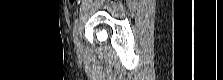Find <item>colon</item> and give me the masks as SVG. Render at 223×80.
Returning a JSON list of instances; mask_svg holds the SVG:
<instances>
[{"instance_id": "obj_1", "label": "colon", "mask_w": 223, "mask_h": 80, "mask_svg": "<svg viewBox=\"0 0 223 80\" xmlns=\"http://www.w3.org/2000/svg\"><path fill=\"white\" fill-rule=\"evenodd\" d=\"M69 2H70L71 4H76V3H78L79 1H78V0H69Z\"/></svg>"}]
</instances>
